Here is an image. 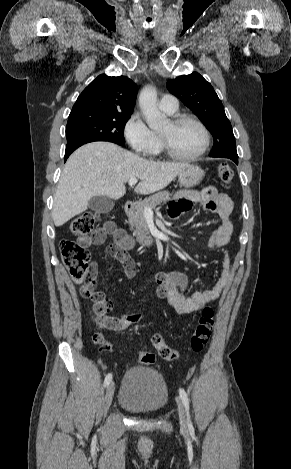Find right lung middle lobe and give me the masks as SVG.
Listing matches in <instances>:
<instances>
[{
	"instance_id": "right-lung-middle-lobe-1",
	"label": "right lung middle lobe",
	"mask_w": 291,
	"mask_h": 469,
	"mask_svg": "<svg viewBox=\"0 0 291 469\" xmlns=\"http://www.w3.org/2000/svg\"><path fill=\"white\" fill-rule=\"evenodd\" d=\"M130 116L93 111L70 113L66 126L67 143L98 140L124 145L123 131Z\"/></svg>"
}]
</instances>
